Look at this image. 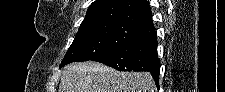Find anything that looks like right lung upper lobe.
Segmentation results:
<instances>
[{"instance_id": "obj_1", "label": "right lung upper lobe", "mask_w": 225, "mask_h": 92, "mask_svg": "<svg viewBox=\"0 0 225 92\" xmlns=\"http://www.w3.org/2000/svg\"><path fill=\"white\" fill-rule=\"evenodd\" d=\"M107 22L126 24L143 33L155 29L147 0H96L81 25Z\"/></svg>"}]
</instances>
